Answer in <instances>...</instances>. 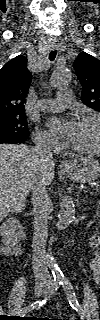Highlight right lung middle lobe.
<instances>
[{"label": "right lung middle lobe", "mask_w": 100, "mask_h": 320, "mask_svg": "<svg viewBox=\"0 0 100 320\" xmlns=\"http://www.w3.org/2000/svg\"><path fill=\"white\" fill-rule=\"evenodd\" d=\"M28 134L25 116L0 119V141L10 138L27 139Z\"/></svg>", "instance_id": "right-lung-middle-lobe-1"}]
</instances>
